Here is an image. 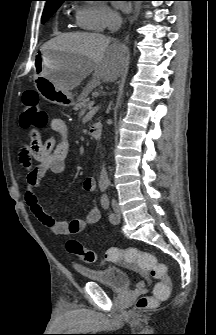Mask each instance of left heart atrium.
I'll return each mask as SVG.
<instances>
[{
  "label": "left heart atrium",
  "mask_w": 216,
  "mask_h": 335,
  "mask_svg": "<svg viewBox=\"0 0 216 335\" xmlns=\"http://www.w3.org/2000/svg\"><path fill=\"white\" fill-rule=\"evenodd\" d=\"M120 8H121V9H124L121 5H120Z\"/></svg>",
  "instance_id": "left-heart-atrium-1"
}]
</instances>
